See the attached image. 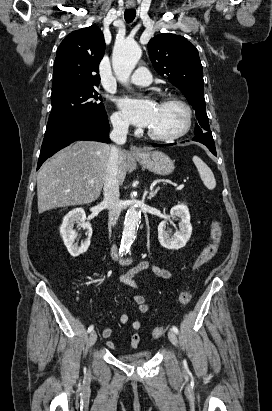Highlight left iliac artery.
I'll use <instances>...</instances> for the list:
<instances>
[{"mask_svg": "<svg viewBox=\"0 0 272 411\" xmlns=\"http://www.w3.org/2000/svg\"><path fill=\"white\" fill-rule=\"evenodd\" d=\"M172 331H173L174 333H176V334L179 333V330H178V328H177L176 326H172Z\"/></svg>", "mask_w": 272, "mask_h": 411, "instance_id": "44dca946", "label": "left iliac artery"}]
</instances>
